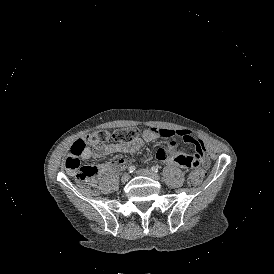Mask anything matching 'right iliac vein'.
Instances as JSON below:
<instances>
[{"mask_svg":"<svg viewBox=\"0 0 274 274\" xmlns=\"http://www.w3.org/2000/svg\"><path fill=\"white\" fill-rule=\"evenodd\" d=\"M129 178H130L129 174H128V173H125V174H123V176L121 177V181L125 183V182H127V181L129 180Z\"/></svg>","mask_w":274,"mask_h":274,"instance_id":"obj_1","label":"right iliac vein"}]
</instances>
